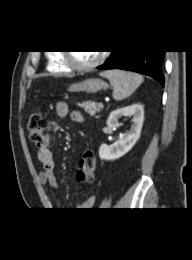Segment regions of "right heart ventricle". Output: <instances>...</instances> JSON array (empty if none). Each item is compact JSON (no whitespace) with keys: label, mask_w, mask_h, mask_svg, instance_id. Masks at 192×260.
Returning <instances> with one entry per match:
<instances>
[{"label":"right heart ventricle","mask_w":192,"mask_h":260,"mask_svg":"<svg viewBox=\"0 0 192 260\" xmlns=\"http://www.w3.org/2000/svg\"><path fill=\"white\" fill-rule=\"evenodd\" d=\"M47 69L53 73H68L70 68L62 60V55L58 52L50 53L48 55Z\"/></svg>","instance_id":"1"}]
</instances>
